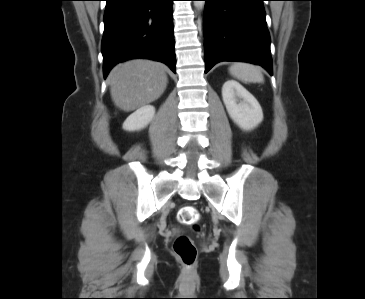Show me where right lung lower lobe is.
I'll list each match as a JSON object with an SVG mask.
<instances>
[{
    "mask_svg": "<svg viewBox=\"0 0 365 299\" xmlns=\"http://www.w3.org/2000/svg\"><path fill=\"white\" fill-rule=\"evenodd\" d=\"M173 0H106L101 50L103 73L119 62L147 58L176 73Z\"/></svg>",
    "mask_w": 365,
    "mask_h": 299,
    "instance_id": "98d812e1",
    "label": "right lung lower lobe"
}]
</instances>
